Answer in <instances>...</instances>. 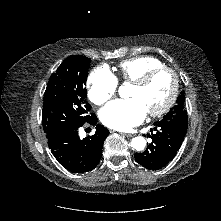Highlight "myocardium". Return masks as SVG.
Wrapping results in <instances>:
<instances>
[{"mask_svg":"<svg viewBox=\"0 0 221 221\" xmlns=\"http://www.w3.org/2000/svg\"><path fill=\"white\" fill-rule=\"evenodd\" d=\"M162 72H167L172 76V81H173L172 90H171L169 98L164 103V105H162L160 108L156 110L148 111V114L151 117H159V116L166 114L175 104L177 97H178L179 85H180L179 76L177 72L170 67L160 66V67H156L147 71L141 77H139L133 82V85L138 86V87H143L147 85L154 77H156L158 74Z\"/></svg>","mask_w":221,"mask_h":221,"instance_id":"obj_1","label":"myocardium"}]
</instances>
